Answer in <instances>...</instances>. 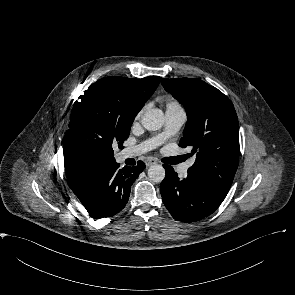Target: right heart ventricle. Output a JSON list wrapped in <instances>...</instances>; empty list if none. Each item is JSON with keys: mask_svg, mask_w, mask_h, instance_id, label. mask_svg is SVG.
<instances>
[{"mask_svg": "<svg viewBox=\"0 0 295 295\" xmlns=\"http://www.w3.org/2000/svg\"><path fill=\"white\" fill-rule=\"evenodd\" d=\"M180 106L176 101H169L167 103V108H171V107H178Z\"/></svg>", "mask_w": 295, "mask_h": 295, "instance_id": "obj_1", "label": "right heart ventricle"}]
</instances>
